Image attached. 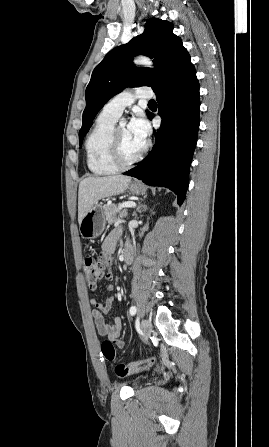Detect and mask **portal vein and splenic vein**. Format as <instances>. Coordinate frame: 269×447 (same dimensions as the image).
<instances>
[{"mask_svg": "<svg viewBox=\"0 0 269 447\" xmlns=\"http://www.w3.org/2000/svg\"><path fill=\"white\" fill-rule=\"evenodd\" d=\"M134 206H136V204H135V202H122L121 204H119L118 206H117V209L119 210V211H122L123 209H125L126 207L127 208H134Z\"/></svg>", "mask_w": 269, "mask_h": 447, "instance_id": "portal-vein-and-splenic-vein-1", "label": "portal vein and splenic vein"}]
</instances>
